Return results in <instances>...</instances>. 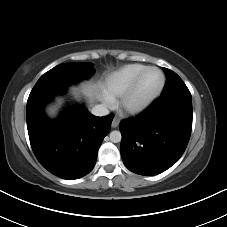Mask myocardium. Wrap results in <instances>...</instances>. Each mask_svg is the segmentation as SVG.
I'll list each match as a JSON object with an SVG mask.
<instances>
[{"instance_id": "1", "label": "myocardium", "mask_w": 227, "mask_h": 227, "mask_svg": "<svg viewBox=\"0 0 227 227\" xmlns=\"http://www.w3.org/2000/svg\"><path fill=\"white\" fill-rule=\"evenodd\" d=\"M150 70H157L161 74V83L158 89L148 97L136 100V92L143 76ZM166 84L164 72L156 66H147L135 78L129 89L121 97V108L128 114L135 115L146 110L162 93Z\"/></svg>"}]
</instances>
